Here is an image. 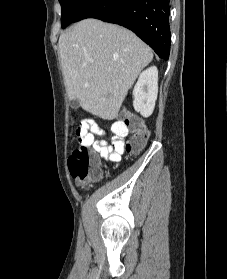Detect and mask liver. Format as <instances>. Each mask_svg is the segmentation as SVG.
<instances>
[{
    "label": "liver",
    "instance_id": "liver-1",
    "mask_svg": "<svg viewBox=\"0 0 227 279\" xmlns=\"http://www.w3.org/2000/svg\"><path fill=\"white\" fill-rule=\"evenodd\" d=\"M59 54L66 91L87 112L113 120L153 53L132 31L84 19L62 33Z\"/></svg>",
    "mask_w": 227,
    "mask_h": 279
}]
</instances>
